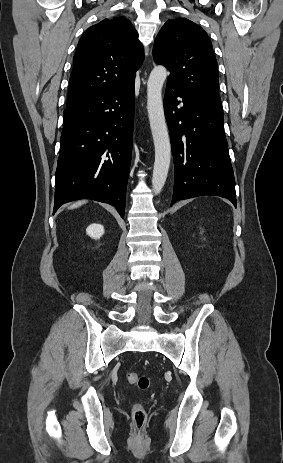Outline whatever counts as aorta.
<instances>
[{
    "label": "aorta",
    "mask_w": 283,
    "mask_h": 463,
    "mask_svg": "<svg viewBox=\"0 0 283 463\" xmlns=\"http://www.w3.org/2000/svg\"><path fill=\"white\" fill-rule=\"evenodd\" d=\"M167 77V69L156 66L147 82V111L155 147V162L152 176V189L160 194L165 185L171 160V146L166 125L162 87Z\"/></svg>",
    "instance_id": "1"
}]
</instances>
